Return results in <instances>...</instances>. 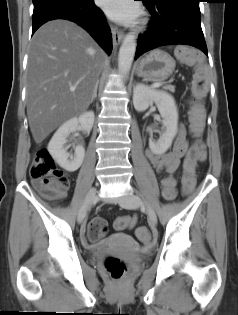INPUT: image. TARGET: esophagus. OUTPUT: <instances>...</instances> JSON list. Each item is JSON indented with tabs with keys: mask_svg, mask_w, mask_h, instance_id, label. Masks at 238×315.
Segmentation results:
<instances>
[{
	"mask_svg": "<svg viewBox=\"0 0 238 315\" xmlns=\"http://www.w3.org/2000/svg\"><path fill=\"white\" fill-rule=\"evenodd\" d=\"M123 38H124V33L122 31H119L116 29L113 30V45H114V47H117Z\"/></svg>",
	"mask_w": 238,
	"mask_h": 315,
	"instance_id": "esophagus-1",
	"label": "esophagus"
}]
</instances>
